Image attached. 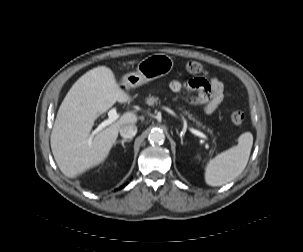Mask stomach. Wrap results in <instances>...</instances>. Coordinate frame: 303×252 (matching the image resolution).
<instances>
[{
	"instance_id": "stomach-1",
	"label": "stomach",
	"mask_w": 303,
	"mask_h": 252,
	"mask_svg": "<svg viewBox=\"0 0 303 252\" xmlns=\"http://www.w3.org/2000/svg\"><path fill=\"white\" fill-rule=\"evenodd\" d=\"M174 62L166 54L150 55L139 62L136 72L125 74L121 79L124 89H132L163 77L171 72Z\"/></svg>"
}]
</instances>
